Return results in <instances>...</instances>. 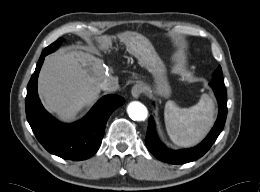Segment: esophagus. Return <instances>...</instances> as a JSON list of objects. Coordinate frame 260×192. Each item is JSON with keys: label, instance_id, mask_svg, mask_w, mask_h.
<instances>
[{"label": "esophagus", "instance_id": "1", "mask_svg": "<svg viewBox=\"0 0 260 192\" xmlns=\"http://www.w3.org/2000/svg\"><path fill=\"white\" fill-rule=\"evenodd\" d=\"M144 91V86L141 83L135 84L131 90V94L134 98H139Z\"/></svg>", "mask_w": 260, "mask_h": 192}]
</instances>
